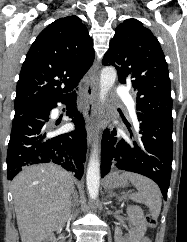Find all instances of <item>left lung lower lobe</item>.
Masks as SVG:
<instances>
[{"mask_svg":"<svg viewBox=\"0 0 187 242\" xmlns=\"http://www.w3.org/2000/svg\"><path fill=\"white\" fill-rule=\"evenodd\" d=\"M138 135L129 138L115 137L108 129L103 132L101 146V177L112 169L142 174L155 181L164 199L171 178L173 159L171 119L137 112Z\"/></svg>","mask_w":187,"mask_h":242,"instance_id":"1","label":"left lung lower lobe"}]
</instances>
